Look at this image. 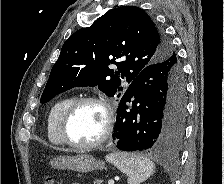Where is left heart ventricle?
Returning <instances> with one entry per match:
<instances>
[{"mask_svg":"<svg viewBox=\"0 0 224 184\" xmlns=\"http://www.w3.org/2000/svg\"><path fill=\"white\" fill-rule=\"evenodd\" d=\"M105 122L103 109L93 103L80 105L68 124L70 138L77 143H91L97 140L102 132Z\"/></svg>","mask_w":224,"mask_h":184,"instance_id":"b2bd125f","label":"left heart ventricle"}]
</instances>
